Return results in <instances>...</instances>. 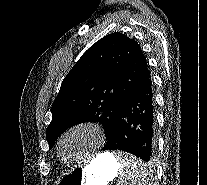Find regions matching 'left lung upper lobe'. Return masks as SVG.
Returning a JSON list of instances; mask_svg holds the SVG:
<instances>
[{"instance_id":"obj_1","label":"left lung upper lobe","mask_w":207,"mask_h":185,"mask_svg":"<svg viewBox=\"0 0 207 185\" xmlns=\"http://www.w3.org/2000/svg\"><path fill=\"white\" fill-rule=\"evenodd\" d=\"M149 78L134 39L115 32L97 41L62 81L46 130L49 148L64 131L83 122H99L108 140L119 109Z\"/></svg>"}]
</instances>
